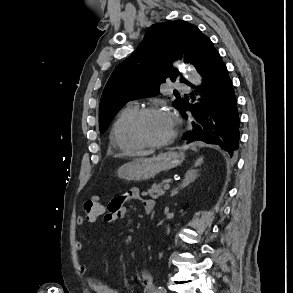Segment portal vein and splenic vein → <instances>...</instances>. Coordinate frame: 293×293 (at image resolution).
Instances as JSON below:
<instances>
[{
	"label": "portal vein and splenic vein",
	"instance_id": "portal-vein-and-splenic-vein-1",
	"mask_svg": "<svg viewBox=\"0 0 293 293\" xmlns=\"http://www.w3.org/2000/svg\"><path fill=\"white\" fill-rule=\"evenodd\" d=\"M169 189H170V184L169 183L165 184L164 190H169Z\"/></svg>",
	"mask_w": 293,
	"mask_h": 293
}]
</instances>
